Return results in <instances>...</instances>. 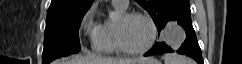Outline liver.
Returning a JSON list of instances; mask_svg holds the SVG:
<instances>
[{"label": "liver", "instance_id": "liver-1", "mask_svg": "<svg viewBox=\"0 0 242 64\" xmlns=\"http://www.w3.org/2000/svg\"><path fill=\"white\" fill-rule=\"evenodd\" d=\"M150 61L149 58H135V59H112L102 58L97 56H76L71 59H62L54 61L53 64H144Z\"/></svg>", "mask_w": 242, "mask_h": 64}]
</instances>
